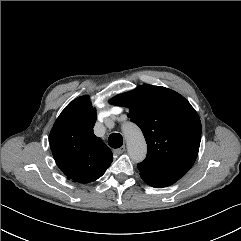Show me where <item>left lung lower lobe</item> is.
I'll list each match as a JSON object with an SVG mask.
<instances>
[{
	"label": "left lung lower lobe",
	"mask_w": 241,
	"mask_h": 241,
	"mask_svg": "<svg viewBox=\"0 0 241 241\" xmlns=\"http://www.w3.org/2000/svg\"><path fill=\"white\" fill-rule=\"evenodd\" d=\"M141 178L144 180L145 183H147L148 185L152 186V187H167L169 186L168 184L162 182V181H158L152 178H149L143 174H140Z\"/></svg>",
	"instance_id": "0a47b994"
}]
</instances>
